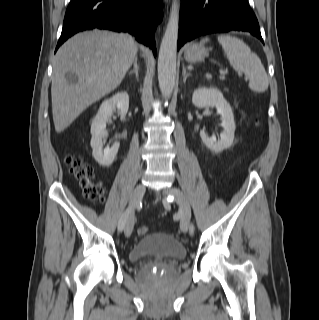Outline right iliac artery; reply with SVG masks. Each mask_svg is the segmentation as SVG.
<instances>
[{
  "mask_svg": "<svg viewBox=\"0 0 319 320\" xmlns=\"http://www.w3.org/2000/svg\"><path fill=\"white\" fill-rule=\"evenodd\" d=\"M132 207H129L128 209H126L123 214L121 215L119 222H118V230L121 232L124 229L127 217L129 215V213L131 212Z\"/></svg>",
  "mask_w": 319,
  "mask_h": 320,
  "instance_id": "1",
  "label": "right iliac artery"
}]
</instances>
